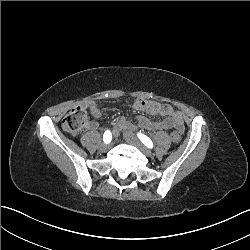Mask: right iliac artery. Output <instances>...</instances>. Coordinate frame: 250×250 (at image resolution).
I'll return each mask as SVG.
<instances>
[{
	"instance_id": "82829eb1",
	"label": "right iliac artery",
	"mask_w": 250,
	"mask_h": 250,
	"mask_svg": "<svg viewBox=\"0 0 250 250\" xmlns=\"http://www.w3.org/2000/svg\"><path fill=\"white\" fill-rule=\"evenodd\" d=\"M112 140V134L109 130L105 131L104 135H103V141L106 144H109Z\"/></svg>"
}]
</instances>
